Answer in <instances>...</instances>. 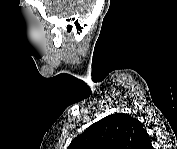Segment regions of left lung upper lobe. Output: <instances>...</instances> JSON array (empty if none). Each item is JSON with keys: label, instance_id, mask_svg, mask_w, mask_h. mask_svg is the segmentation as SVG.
I'll use <instances>...</instances> for the list:
<instances>
[{"label": "left lung upper lobe", "instance_id": "5c2ea615", "mask_svg": "<svg viewBox=\"0 0 177 149\" xmlns=\"http://www.w3.org/2000/svg\"><path fill=\"white\" fill-rule=\"evenodd\" d=\"M147 136L138 119L115 113L88 127L68 149H147Z\"/></svg>", "mask_w": 177, "mask_h": 149}]
</instances>
